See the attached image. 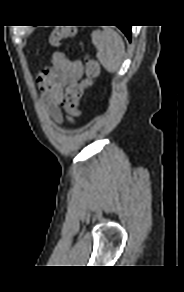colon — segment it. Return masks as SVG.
Listing matches in <instances>:
<instances>
[{"mask_svg": "<svg viewBox=\"0 0 184 292\" xmlns=\"http://www.w3.org/2000/svg\"><path fill=\"white\" fill-rule=\"evenodd\" d=\"M74 33L75 29L71 25L57 27L51 33V43L58 45L62 40L72 36ZM85 71L86 78L69 85L63 99L65 111L73 117H80L82 115V110L79 107L80 100L85 90L91 87L95 79L99 76L100 66L95 59L87 57Z\"/></svg>", "mask_w": 184, "mask_h": 292, "instance_id": "5ec220e1", "label": "colon"}]
</instances>
